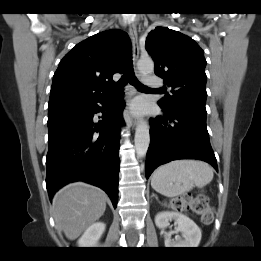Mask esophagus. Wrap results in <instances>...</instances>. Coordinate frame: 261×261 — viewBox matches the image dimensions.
<instances>
[{
	"label": "esophagus",
	"instance_id": "34e87169",
	"mask_svg": "<svg viewBox=\"0 0 261 261\" xmlns=\"http://www.w3.org/2000/svg\"><path fill=\"white\" fill-rule=\"evenodd\" d=\"M129 35L132 40V45H133V65H134V71L136 75H138L137 71V60L139 58V45H138V33H137V28L136 24L134 22L129 24ZM134 91L132 89L129 90L128 92V100H127V106L125 108V116L126 118L133 124V126L137 125L138 121L137 119L132 115L131 109H130V99L133 96Z\"/></svg>",
	"mask_w": 261,
	"mask_h": 261
}]
</instances>
